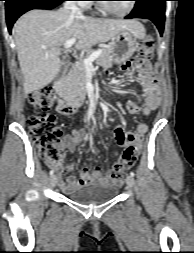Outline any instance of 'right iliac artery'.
Masks as SVG:
<instances>
[{"mask_svg":"<svg viewBox=\"0 0 194 253\" xmlns=\"http://www.w3.org/2000/svg\"><path fill=\"white\" fill-rule=\"evenodd\" d=\"M49 174L52 176L54 174V170H51Z\"/></svg>","mask_w":194,"mask_h":253,"instance_id":"1","label":"right iliac artery"}]
</instances>
